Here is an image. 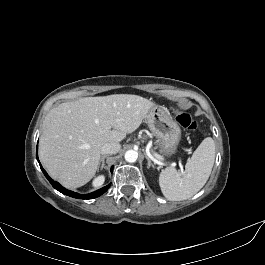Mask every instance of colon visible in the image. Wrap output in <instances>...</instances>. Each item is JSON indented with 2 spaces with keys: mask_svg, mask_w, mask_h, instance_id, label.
Listing matches in <instances>:
<instances>
[{
  "mask_svg": "<svg viewBox=\"0 0 265 265\" xmlns=\"http://www.w3.org/2000/svg\"><path fill=\"white\" fill-rule=\"evenodd\" d=\"M176 120L185 129L194 130L197 127L196 120L186 111H178L176 114Z\"/></svg>",
  "mask_w": 265,
  "mask_h": 265,
  "instance_id": "colon-1",
  "label": "colon"
}]
</instances>
